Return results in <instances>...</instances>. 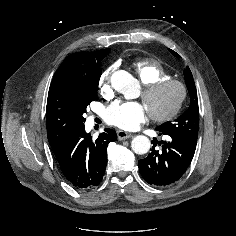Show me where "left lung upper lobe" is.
Wrapping results in <instances>:
<instances>
[{"instance_id":"left-lung-upper-lobe-1","label":"left lung upper lobe","mask_w":236,"mask_h":236,"mask_svg":"<svg viewBox=\"0 0 236 236\" xmlns=\"http://www.w3.org/2000/svg\"><path fill=\"white\" fill-rule=\"evenodd\" d=\"M176 57H180L176 52L170 50ZM185 83L190 96V105L187 111L182 114L173 122H165L162 125L156 127V130L180 136L194 143L197 142L198 137V126H199V108H198V98L195 83L193 80L192 73L187 67L184 72Z\"/></svg>"}]
</instances>
